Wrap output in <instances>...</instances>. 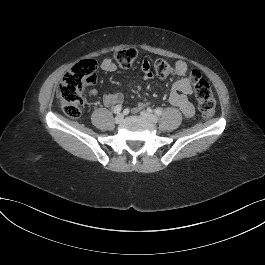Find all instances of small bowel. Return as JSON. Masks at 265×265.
Instances as JSON below:
<instances>
[{
	"label": "small bowel",
	"mask_w": 265,
	"mask_h": 265,
	"mask_svg": "<svg viewBox=\"0 0 265 265\" xmlns=\"http://www.w3.org/2000/svg\"><path fill=\"white\" fill-rule=\"evenodd\" d=\"M101 68L104 71L113 72L117 69V65L111 59H104L101 63ZM175 70L179 78L172 83L169 101L172 105L178 107L185 117L191 118L195 114V107L190 101V97L193 95V87L190 80L185 77L188 71V65L185 61L179 60L175 63ZM141 71L145 80L153 79L154 75L150 63L147 60L142 61ZM97 94L98 91L95 88H91L88 91L89 97H95ZM122 101L123 95L121 93H107L103 96V103L108 107L122 103ZM145 105V103H139L134 110L138 111L144 108Z\"/></svg>",
	"instance_id": "c3829d8e"
}]
</instances>
